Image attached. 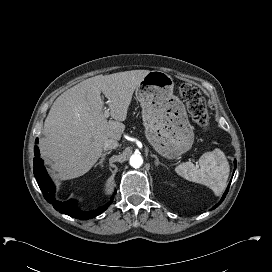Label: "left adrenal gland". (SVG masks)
Instances as JSON below:
<instances>
[{
	"label": "left adrenal gland",
	"mask_w": 272,
	"mask_h": 272,
	"mask_svg": "<svg viewBox=\"0 0 272 272\" xmlns=\"http://www.w3.org/2000/svg\"><path fill=\"white\" fill-rule=\"evenodd\" d=\"M150 156L155 158V165L156 166L162 165V166H164V167H166L168 169V167L165 164H163L162 162H160V160L158 159V157L156 155H154V154L151 153Z\"/></svg>",
	"instance_id": "left-adrenal-gland-1"
}]
</instances>
